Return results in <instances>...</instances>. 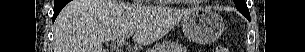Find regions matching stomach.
<instances>
[{
	"label": "stomach",
	"instance_id": "1",
	"mask_svg": "<svg viewBox=\"0 0 305 52\" xmlns=\"http://www.w3.org/2000/svg\"><path fill=\"white\" fill-rule=\"evenodd\" d=\"M224 23L220 15L207 8H195L183 19V33L191 41L209 44L218 39Z\"/></svg>",
	"mask_w": 305,
	"mask_h": 52
}]
</instances>
